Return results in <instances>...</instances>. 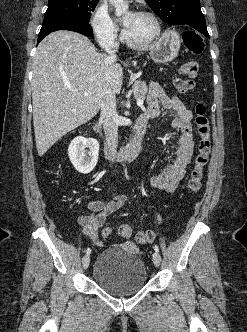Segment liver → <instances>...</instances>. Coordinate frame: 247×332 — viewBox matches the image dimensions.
Returning a JSON list of instances; mask_svg holds the SVG:
<instances>
[{
  "label": "liver",
  "mask_w": 247,
  "mask_h": 332,
  "mask_svg": "<svg viewBox=\"0 0 247 332\" xmlns=\"http://www.w3.org/2000/svg\"><path fill=\"white\" fill-rule=\"evenodd\" d=\"M122 82L121 65L98 53L87 37L63 30L45 37L33 59L31 83L38 155L91 120L106 93L119 94Z\"/></svg>",
  "instance_id": "1"
}]
</instances>
